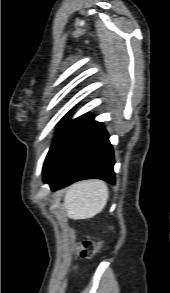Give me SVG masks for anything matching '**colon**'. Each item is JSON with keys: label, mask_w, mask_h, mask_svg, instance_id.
<instances>
[{"label": "colon", "mask_w": 170, "mask_h": 293, "mask_svg": "<svg viewBox=\"0 0 170 293\" xmlns=\"http://www.w3.org/2000/svg\"><path fill=\"white\" fill-rule=\"evenodd\" d=\"M101 246L100 241L85 239L79 241L76 245V254L80 259L88 260L98 252Z\"/></svg>", "instance_id": "5ec220e1"}]
</instances>
